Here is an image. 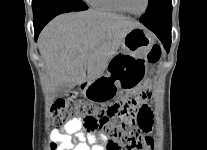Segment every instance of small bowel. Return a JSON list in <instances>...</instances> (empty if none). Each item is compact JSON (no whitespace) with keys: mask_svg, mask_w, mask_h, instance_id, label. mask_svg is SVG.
Returning <instances> with one entry per match:
<instances>
[{"mask_svg":"<svg viewBox=\"0 0 207 150\" xmlns=\"http://www.w3.org/2000/svg\"><path fill=\"white\" fill-rule=\"evenodd\" d=\"M82 128V121L75 118L69 120L62 130L53 129L50 137L58 143V150H105L106 135L85 133Z\"/></svg>","mask_w":207,"mask_h":150,"instance_id":"c3829d8e","label":"small bowel"}]
</instances>
